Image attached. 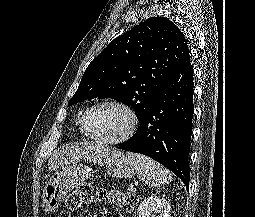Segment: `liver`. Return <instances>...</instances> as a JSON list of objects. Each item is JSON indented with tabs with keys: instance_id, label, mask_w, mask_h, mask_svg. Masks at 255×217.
Listing matches in <instances>:
<instances>
[{
	"instance_id": "1",
	"label": "liver",
	"mask_w": 255,
	"mask_h": 217,
	"mask_svg": "<svg viewBox=\"0 0 255 217\" xmlns=\"http://www.w3.org/2000/svg\"><path fill=\"white\" fill-rule=\"evenodd\" d=\"M111 150L100 144H69L63 146L48 160L49 170H58L64 166L84 160H96Z\"/></svg>"
}]
</instances>
